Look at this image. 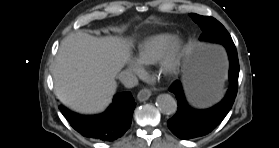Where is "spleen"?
Masks as SVG:
<instances>
[{"label":"spleen","mask_w":279,"mask_h":148,"mask_svg":"<svg viewBox=\"0 0 279 148\" xmlns=\"http://www.w3.org/2000/svg\"><path fill=\"white\" fill-rule=\"evenodd\" d=\"M219 92H221V85H220V89H219Z\"/></svg>","instance_id":"1"}]
</instances>
